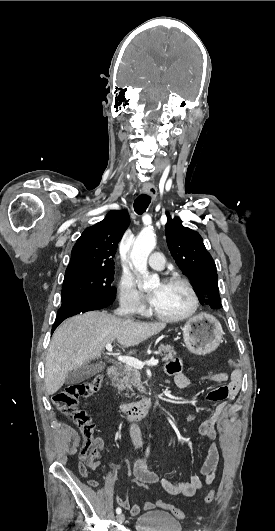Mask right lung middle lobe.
I'll list each match as a JSON object with an SVG mask.
<instances>
[{
  "label": "right lung middle lobe",
  "instance_id": "dd1d6c3e",
  "mask_svg": "<svg viewBox=\"0 0 275 531\" xmlns=\"http://www.w3.org/2000/svg\"><path fill=\"white\" fill-rule=\"evenodd\" d=\"M113 280L114 269H83L65 273L62 299L77 296L111 305L116 297Z\"/></svg>",
  "mask_w": 275,
  "mask_h": 531
}]
</instances>
